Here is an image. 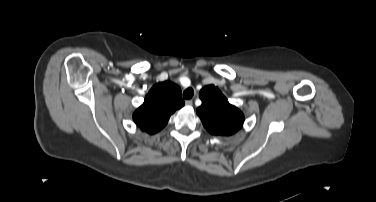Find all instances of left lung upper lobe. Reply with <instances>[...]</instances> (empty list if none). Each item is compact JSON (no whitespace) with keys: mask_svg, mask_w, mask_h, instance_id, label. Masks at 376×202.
<instances>
[{"mask_svg":"<svg viewBox=\"0 0 376 202\" xmlns=\"http://www.w3.org/2000/svg\"><path fill=\"white\" fill-rule=\"evenodd\" d=\"M199 96L202 105L197 109V114L209 133L229 136L242 128L243 113L231 105L217 87L205 86Z\"/></svg>","mask_w":376,"mask_h":202,"instance_id":"left-lung-upper-lobe-1","label":"left lung upper lobe"}]
</instances>
